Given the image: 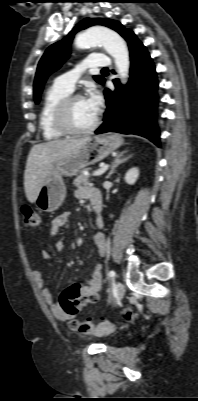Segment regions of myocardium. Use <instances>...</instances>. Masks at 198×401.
Listing matches in <instances>:
<instances>
[{
  "mask_svg": "<svg viewBox=\"0 0 198 401\" xmlns=\"http://www.w3.org/2000/svg\"><path fill=\"white\" fill-rule=\"evenodd\" d=\"M84 96L79 93L69 94L64 97L56 107L55 114H54V122L58 130H60L65 135L70 136H79L91 133L94 131L100 124L101 117L100 113H97V116L94 122L83 129H78L72 126L69 118L70 108L74 101L83 99Z\"/></svg>",
  "mask_w": 198,
  "mask_h": 401,
  "instance_id": "myocardium-1",
  "label": "myocardium"
}]
</instances>
